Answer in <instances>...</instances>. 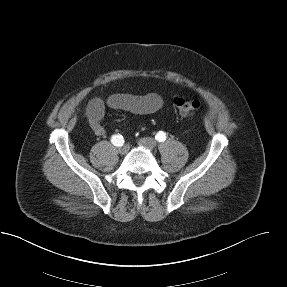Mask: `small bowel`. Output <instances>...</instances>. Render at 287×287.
Here are the masks:
<instances>
[{
  "mask_svg": "<svg viewBox=\"0 0 287 287\" xmlns=\"http://www.w3.org/2000/svg\"><path fill=\"white\" fill-rule=\"evenodd\" d=\"M106 107L145 115L159 111L163 107V99L155 93L145 95L120 93L111 95L106 101L98 97L93 98L86 107V116L96 136H102L105 133L103 119Z\"/></svg>",
  "mask_w": 287,
  "mask_h": 287,
  "instance_id": "obj_1",
  "label": "small bowel"
}]
</instances>
